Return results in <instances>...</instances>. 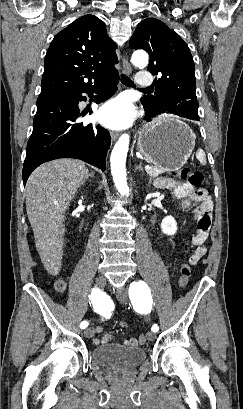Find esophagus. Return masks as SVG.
Segmentation results:
<instances>
[{
  "instance_id": "1",
  "label": "esophagus",
  "mask_w": 243,
  "mask_h": 409,
  "mask_svg": "<svg viewBox=\"0 0 243 409\" xmlns=\"http://www.w3.org/2000/svg\"><path fill=\"white\" fill-rule=\"evenodd\" d=\"M122 71H123L124 74H130L131 71H132L131 65L128 62L127 57H125V56H124L123 62H122ZM110 135H111V138L115 140V139L118 138L119 133L115 132V131H111Z\"/></svg>"
}]
</instances>
